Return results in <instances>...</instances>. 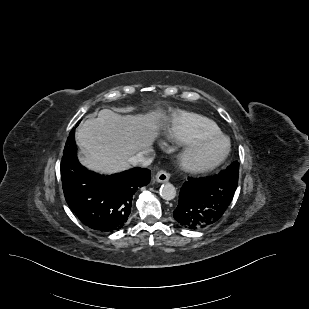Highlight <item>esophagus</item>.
I'll use <instances>...</instances> for the list:
<instances>
[{
	"label": "esophagus",
	"mask_w": 309,
	"mask_h": 309,
	"mask_svg": "<svg viewBox=\"0 0 309 309\" xmlns=\"http://www.w3.org/2000/svg\"><path fill=\"white\" fill-rule=\"evenodd\" d=\"M170 178V175L167 171L165 170H160L157 174H156V181L159 183H163V182H167Z\"/></svg>",
	"instance_id": "obj_1"
}]
</instances>
